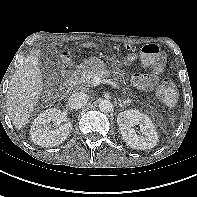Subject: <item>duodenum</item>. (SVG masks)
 I'll list each match as a JSON object with an SVG mask.
<instances>
[{"mask_svg": "<svg viewBox=\"0 0 197 197\" xmlns=\"http://www.w3.org/2000/svg\"><path fill=\"white\" fill-rule=\"evenodd\" d=\"M80 74V69L77 68L73 71V73L71 74V77L66 85V90L69 91L77 82L78 80V76Z\"/></svg>", "mask_w": 197, "mask_h": 197, "instance_id": "410a0bca", "label": "duodenum"}]
</instances>
